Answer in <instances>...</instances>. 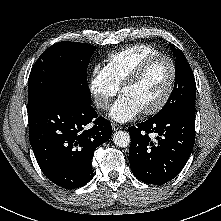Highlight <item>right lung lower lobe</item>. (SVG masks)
<instances>
[{
	"label": "right lung lower lobe",
	"instance_id": "right-lung-lower-lobe-1",
	"mask_svg": "<svg viewBox=\"0 0 221 221\" xmlns=\"http://www.w3.org/2000/svg\"><path fill=\"white\" fill-rule=\"evenodd\" d=\"M29 139L44 175L56 185L75 189L93 178L95 149L111 137V123L90 103L53 95L28 110ZM93 121L92 128L86 126Z\"/></svg>",
	"mask_w": 221,
	"mask_h": 221
}]
</instances>
